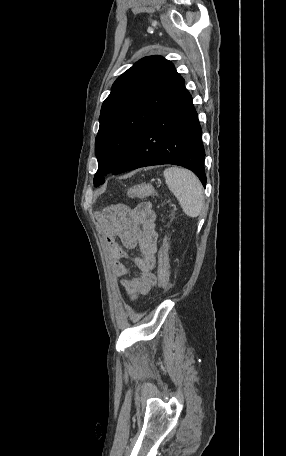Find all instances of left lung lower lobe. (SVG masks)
<instances>
[{
    "label": "left lung lower lobe",
    "mask_w": 286,
    "mask_h": 456,
    "mask_svg": "<svg viewBox=\"0 0 286 456\" xmlns=\"http://www.w3.org/2000/svg\"><path fill=\"white\" fill-rule=\"evenodd\" d=\"M204 159L202 129L192 96L183 85L141 131L115 174L145 166L174 164L192 170L205 186Z\"/></svg>",
    "instance_id": "left-lung-lower-lobe-1"
}]
</instances>
